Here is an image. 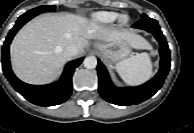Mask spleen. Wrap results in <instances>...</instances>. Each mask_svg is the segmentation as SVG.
Segmentation results:
<instances>
[{
    "label": "spleen",
    "mask_w": 194,
    "mask_h": 133,
    "mask_svg": "<svg viewBox=\"0 0 194 133\" xmlns=\"http://www.w3.org/2000/svg\"><path fill=\"white\" fill-rule=\"evenodd\" d=\"M122 80L131 86L145 83L152 76V62L148 53H140L116 64Z\"/></svg>",
    "instance_id": "obj_1"
}]
</instances>
